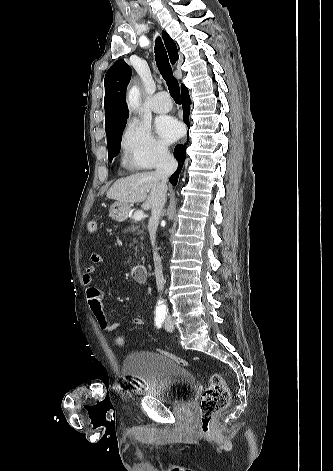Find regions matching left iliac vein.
<instances>
[{"label":"left iliac vein","instance_id":"1","mask_svg":"<svg viewBox=\"0 0 333 471\" xmlns=\"http://www.w3.org/2000/svg\"><path fill=\"white\" fill-rule=\"evenodd\" d=\"M164 327L167 331H173L174 330V322L172 321L170 316H168L166 318Z\"/></svg>","mask_w":333,"mask_h":471}]
</instances>
